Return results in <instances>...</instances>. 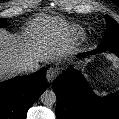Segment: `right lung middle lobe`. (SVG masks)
<instances>
[{"label": "right lung middle lobe", "mask_w": 119, "mask_h": 119, "mask_svg": "<svg viewBox=\"0 0 119 119\" xmlns=\"http://www.w3.org/2000/svg\"><path fill=\"white\" fill-rule=\"evenodd\" d=\"M7 25L6 19H0V28L5 27Z\"/></svg>", "instance_id": "1"}]
</instances>
